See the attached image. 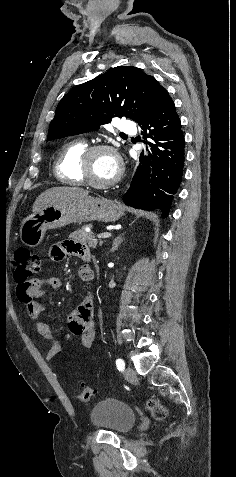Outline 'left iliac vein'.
Instances as JSON below:
<instances>
[{
  "mask_svg": "<svg viewBox=\"0 0 236 477\" xmlns=\"http://www.w3.org/2000/svg\"><path fill=\"white\" fill-rule=\"evenodd\" d=\"M124 376L127 380L132 381L135 379V371L130 366L126 367L124 370Z\"/></svg>",
  "mask_w": 236,
  "mask_h": 477,
  "instance_id": "1",
  "label": "left iliac vein"
}]
</instances>
